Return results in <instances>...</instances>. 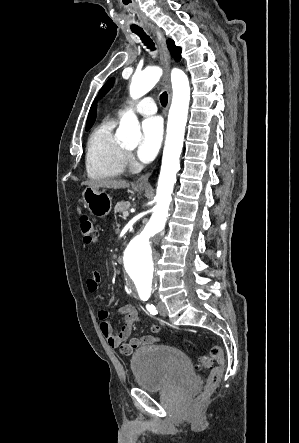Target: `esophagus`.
<instances>
[{
    "instance_id": "obj_1",
    "label": "esophagus",
    "mask_w": 299,
    "mask_h": 443,
    "mask_svg": "<svg viewBox=\"0 0 299 443\" xmlns=\"http://www.w3.org/2000/svg\"><path fill=\"white\" fill-rule=\"evenodd\" d=\"M151 30L153 31V35L155 36V39L157 41L159 51H160L161 62H162L164 69H165V73H164V77H163V86L165 87V89L168 92V105H169L170 101H171V96H172L170 77H169L170 62H171L170 53L167 48L166 40H165V37H164L162 31L159 30L158 28H152ZM151 173L152 172H148V173L140 176L136 180V184L138 186H150L149 178L151 176Z\"/></svg>"
}]
</instances>
